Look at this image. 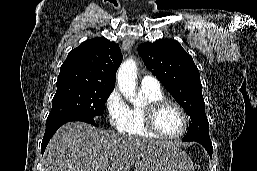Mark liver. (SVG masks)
Listing matches in <instances>:
<instances>
[{
	"label": "liver",
	"instance_id": "1",
	"mask_svg": "<svg viewBox=\"0 0 257 171\" xmlns=\"http://www.w3.org/2000/svg\"><path fill=\"white\" fill-rule=\"evenodd\" d=\"M159 142L116 134L83 122L60 127L44 153V171H130L137 156ZM108 165V166H107Z\"/></svg>",
	"mask_w": 257,
	"mask_h": 171
}]
</instances>
